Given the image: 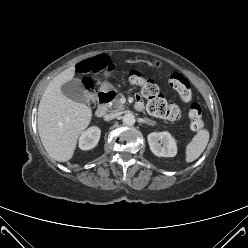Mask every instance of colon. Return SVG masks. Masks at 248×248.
<instances>
[{"label":"colon","instance_id":"1","mask_svg":"<svg viewBox=\"0 0 248 248\" xmlns=\"http://www.w3.org/2000/svg\"><path fill=\"white\" fill-rule=\"evenodd\" d=\"M103 66L104 59L97 58L82 62L79 64V70L82 72H89L92 70L96 71L101 69ZM108 74L110 75V72H108ZM129 81L132 84L141 87L143 95L148 100V110L150 113L163 118H171L177 114V107L168 104L165 98L160 94L159 88L153 80L143 77L138 72H131L129 74ZM168 83L184 102H190L188 112L190 129L193 132L200 131L203 128L202 107L199 103L191 101L192 93L190 82L183 74L173 72L169 76ZM84 88L91 103L97 102L92 90V82L89 78L84 79Z\"/></svg>","mask_w":248,"mask_h":248}]
</instances>
